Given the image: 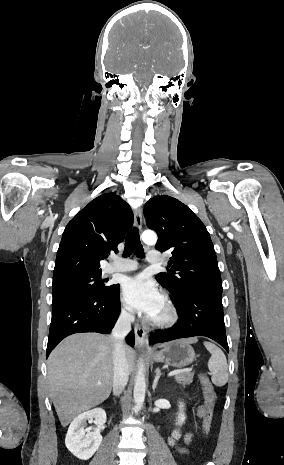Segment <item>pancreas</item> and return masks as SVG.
<instances>
[{
    "instance_id": "1",
    "label": "pancreas",
    "mask_w": 284,
    "mask_h": 465,
    "mask_svg": "<svg viewBox=\"0 0 284 465\" xmlns=\"http://www.w3.org/2000/svg\"><path fill=\"white\" fill-rule=\"evenodd\" d=\"M194 377V373H179V375H175V379L177 383H181V385H190L193 383L192 379Z\"/></svg>"
}]
</instances>
